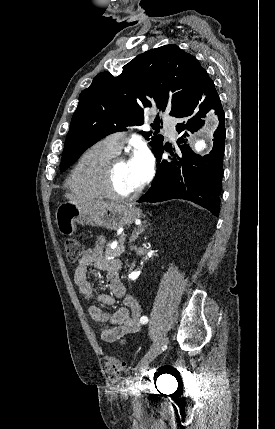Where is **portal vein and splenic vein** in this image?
I'll return each mask as SVG.
<instances>
[{
	"label": "portal vein and splenic vein",
	"mask_w": 275,
	"mask_h": 429,
	"mask_svg": "<svg viewBox=\"0 0 275 429\" xmlns=\"http://www.w3.org/2000/svg\"><path fill=\"white\" fill-rule=\"evenodd\" d=\"M121 237H122L121 239H122V241H123V242H122V244H124L125 236H121ZM111 248H114V245H112V246H111Z\"/></svg>",
	"instance_id": "1"
}]
</instances>
